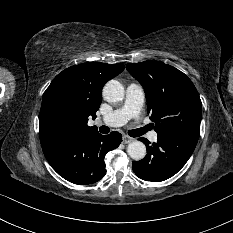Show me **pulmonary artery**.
I'll use <instances>...</instances> for the list:
<instances>
[{
    "label": "pulmonary artery",
    "instance_id": "1",
    "mask_svg": "<svg viewBox=\"0 0 233 233\" xmlns=\"http://www.w3.org/2000/svg\"><path fill=\"white\" fill-rule=\"evenodd\" d=\"M145 93L141 85L131 83L127 86L125 100L121 107L113 110L109 114L98 120L107 126H120L129 119L137 117L144 105ZM150 141L155 142L158 138L157 132L152 131L148 134Z\"/></svg>",
    "mask_w": 233,
    "mask_h": 233
}]
</instances>
